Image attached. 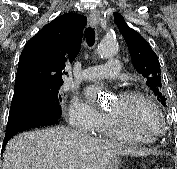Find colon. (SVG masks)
Listing matches in <instances>:
<instances>
[{
	"instance_id": "colon-1",
	"label": "colon",
	"mask_w": 177,
	"mask_h": 169,
	"mask_svg": "<svg viewBox=\"0 0 177 169\" xmlns=\"http://www.w3.org/2000/svg\"><path fill=\"white\" fill-rule=\"evenodd\" d=\"M157 169H165V168H157Z\"/></svg>"
}]
</instances>
